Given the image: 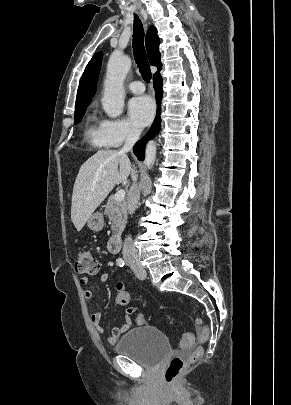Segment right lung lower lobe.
<instances>
[{
  "mask_svg": "<svg viewBox=\"0 0 291 405\" xmlns=\"http://www.w3.org/2000/svg\"><path fill=\"white\" fill-rule=\"evenodd\" d=\"M153 80H154V88H155V97H156V102H157V114L155 117V120L148 131V133L141 139L139 140L133 147V152L137 156L139 160H143L145 157V144L149 139H152L156 134L159 133L161 129V118H160V102L162 99V84L163 80L162 77L159 73H155L153 75Z\"/></svg>",
  "mask_w": 291,
  "mask_h": 405,
  "instance_id": "right-lung-lower-lobe-1",
  "label": "right lung lower lobe"
}]
</instances>
